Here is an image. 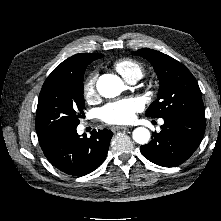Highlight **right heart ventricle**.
I'll return each instance as SVG.
<instances>
[{
  "instance_id": "1",
  "label": "right heart ventricle",
  "mask_w": 221,
  "mask_h": 221,
  "mask_svg": "<svg viewBox=\"0 0 221 221\" xmlns=\"http://www.w3.org/2000/svg\"><path fill=\"white\" fill-rule=\"evenodd\" d=\"M113 67L126 81L138 80L144 73L142 63L132 58L119 59L114 62Z\"/></svg>"
}]
</instances>
